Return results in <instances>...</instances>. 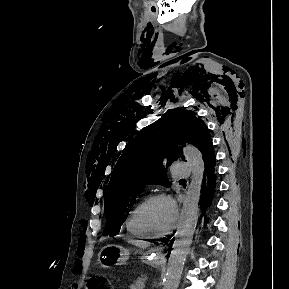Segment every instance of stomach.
<instances>
[{
    "instance_id": "0dacf381",
    "label": "stomach",
    "mask_w": 289,
    "mask_h": 289,
    "mask_svg": "<svg viewBox=\"0 0 289 289\" xmlns=\"http://www.w3.org/2000/svg\"><path fill=\"white\" fill-rule=\"evenodd\" d=\"M130 251L119 245L110 244L103 247L99 252V263L102 267L108 268L115 264L124 263L129 259ZM150 263L154 259L147 260Z\"/></svg>"
}]
</instances>
